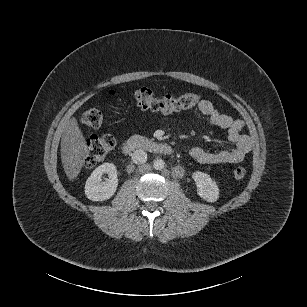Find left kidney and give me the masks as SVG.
Listing matches in <instances>:
<instances>
[{
  "label": "left kidney",
  "instance_id": "left-kidney-1",
  "mask_svg": "<svg viewBox=\"0 0 307 307\" xmlns=\"http://www.w3.org/2000/svg\"><path fill=\"white\" fill-rule=\"evenodd\" d=\"M197 186L198 195L207 202H216L219 198V188L206 173L196 171L192 174Z\"/></svg>",
  "mask_w": 307,
  "mask_h": 307
}]
</instances>
